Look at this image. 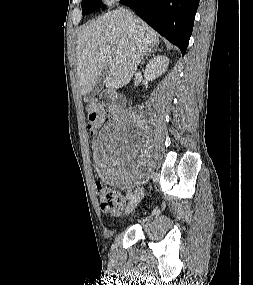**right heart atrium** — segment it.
I'll list each match as a JSON object with an SVG mask.
<instances>
[{
	"instance_id": "obj_1",
	"label": "right heart atrium",
	"mask_w": 253,
	"mask_h": 285,
	"mask_svg": "<svg viewBox=\"0 0 253 285\" xmlns=\"http://www.w3.org/2000/svg\"><path fill=\"white\" fill-rule=\"evenodd\" d=\"M114 1H116V0H104V2H106V3H112Z\"/></svg>"
}]
</instances>
